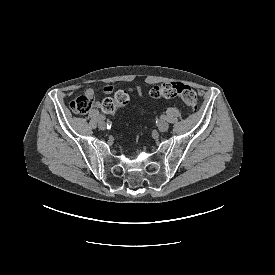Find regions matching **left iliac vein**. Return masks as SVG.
Returning <instances> with one entry per match:
<instances>
[{"instance_id": "obj_1", "label": "left iliac vein", "mask_w": 275, "mask_h": 275, "mask_svg": "<svg viewBox=\"0 0 275 275\" xmlns=\"http://www.w3.org/2000/svg\"><path fill=\"white\" fill-rule=\"evenodd\" d=\"M168 128H169V124L165 121H162L159 124V130L162 131V132L166 131Z\"/></svg>"}]
</instances>
